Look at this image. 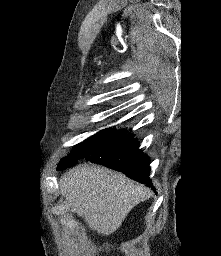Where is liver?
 Wrapping results in <instances>:
<instances>
[{"instance_id":"1","label":"liver","mask_w":221,"mask_h":256,"mask_svg":"<svg viewBox=\"0 0 221 256\" xmlns=\"http://www.w3.org/2000/svg\"><path fill=\"white\" fill-rule=\"evenodd\" d=\"M71 211L85 219L99 234L115 232L130 210L149 196V190L120 172L82 164L70 169L59 181Z\"/></svg>"}]
</instances>
